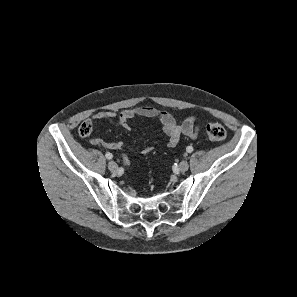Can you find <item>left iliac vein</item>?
<instances>
[{
    "instance_id": "1",
    "label": "left iliac vein",
    "mask_w": 297,
    "mask_h": 297,
    "mask_svg": "<svg viewBox=\"0 0 297 297\" xmlns=\"http://www.w3.org/2000/svg\"><path fill=\"white\" fill-rule=\"evenodd\" d=\"M188 168H189V164H188V162L186 160H183V161L180 162V164H179V170L181 172L187 171Z\"/></svg>"
}]
</instances>
